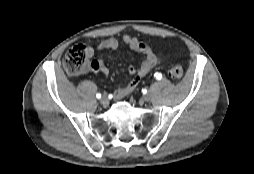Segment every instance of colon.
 Returning <instances> with one entry per match:
<instances>
[{"label":"colon","mask_w":254,"mask_h":174,"mask_svg":"<svg viewBox=\"0 0 254 174\" xmlns=\"http://www.w3.org/2000/svg\"><path fill=\"white\" fill-rule=\"evenodd\" d=\"M63 66L70 75H79L88 70L90 62L86 47L82 44L70 47L64 56ZM170 73L175 80H181L183 77V69L180 66H173Z\"/></svg>","instance_id":"obj_1"}]
</instances>
